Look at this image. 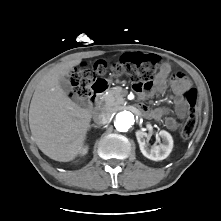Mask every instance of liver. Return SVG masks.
<instances>
[{
    "instance_id": "liver-1",
    "label": "liver",
    "mask_w": 221,
    "mask_h": 221,
    "mask_svg": "<svg viewBox=\"0 0 221 221\" xmlns=\"http://www.w3.org/2000/svg\"><path fill=\"white\" fill-rule=\"evenodd\" d=\"M81 59L60 63L42 76L29 108V125L38 148L49 158L69 162L79 154L90 128L92 112L74 103L60 79Z\"/></svg>"
}]
</instances>
